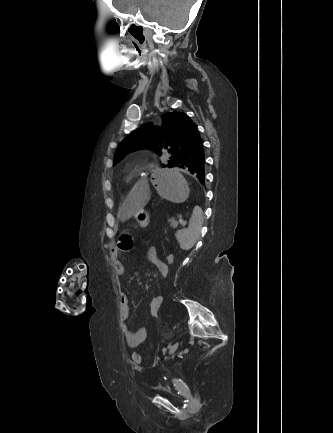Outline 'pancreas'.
Returning a JSON list of instances; mask_svg holds the SVG:
<instances>
[{
    "instance_id": "obj_1",
    "label": "pancreas",
    "mask_w": 333,
    "mask_h": 433,
    "mask_svg": "<svg viewBox=\"0 0 333 433\" xmlns=\"http://www.w3.org/2000/svg\"><path fill=\"white\" fill-rule=\"evenodd\" d=\"M169 223H170V226H171L173 229L177 228L178 225H179V223H178L176 220H174V219L169 220Z\"/></svg>"
}]
</instances>
